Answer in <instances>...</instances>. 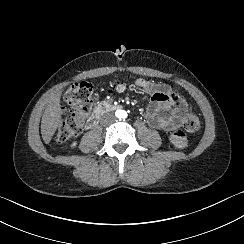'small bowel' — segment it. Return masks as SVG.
Here are the masks:
<instances>
[{
    "label": "small bowel",
    "instance_id": "small-bowel-1",
    "mask_svg": "<svg viewBox=\"0 0 244 244\" xmlns=\"http://www.w3.org/2000/svg\"><path fill=\"white\" fill-rule=\"evenodd\" d=\"M127 89L126 84L114 81L107 91L123 93ZM130 89L143 90L150 94L145 120L151 128L169 131L179 126L183 100L170 86L139 78L133 82Z\"/></svg>",
    "mask_w": 244,
    "mask_h": 244
}]
</instances>
